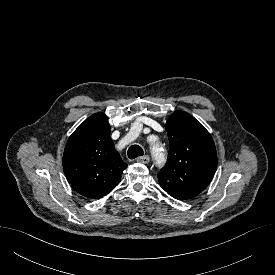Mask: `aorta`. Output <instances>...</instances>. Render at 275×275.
Segmentation results:
<instances>
[{"mask_svg": "<svg viewBox=\"0 0 275 275\" xmlns=\"http://www.w3.org/2000/svg\"><path fill=\"white\" fill-rule=\"evenodd\" d=\"M160 146L157 144H154L151 146L150 151H151V155L154 158L155 161L162 163L164 161V154L162 153V151L160 150Z\"/></svg>", "mask_w": 275, "mask_h": 275, "instance_id": "obj_1", "label": "aorta"}]
</instances>
